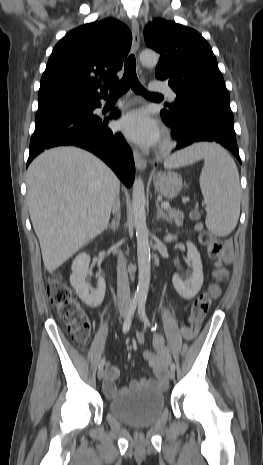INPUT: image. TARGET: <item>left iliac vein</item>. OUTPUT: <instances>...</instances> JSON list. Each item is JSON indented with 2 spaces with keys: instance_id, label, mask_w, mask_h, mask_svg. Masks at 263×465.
I'll return each instance as SVG.
<instances>
[{
  "instance_id": "4c4485c4",
  "label": "left iliac vein",
  "mask_w": 263,
  "mask_h": 465,
  "mask_svg": "<svg viewBox=\"0 0 263 465\" xmlns=\"http://www.w3.org/2000/svg\"><path fill=\"white\" fill-rule=\"evenodd\" d=\"M168 377L169 379H174L175 378V372L173 369H170L169 372H168Z\"/></svg>"
}]
</instances>
